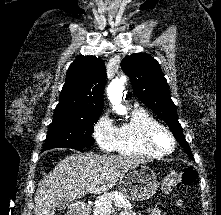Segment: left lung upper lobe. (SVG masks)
<instances>
[{
    "label": "left lung upper lobe",
    "instance_id": "1",
    "mask_svg": "<svg viewBox=\"0 0 221 215\" xmlns=\"http://www.w3.org/2000/svg\"><path fill=\"white\" fill-rule=\"evenodd\" d=\"M121 68L129 76L139 100L166 122L179 144L194 159L182 133L175 104L171 100L169 86L159 63L148 54L135 53L121 61Z\"/></svg>",
    "mask_w": 221,
    "mask_h": 215
}]
</instances>
